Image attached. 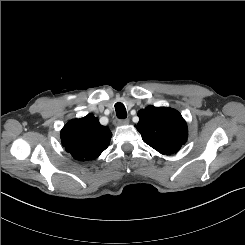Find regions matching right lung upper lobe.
I'll list each match as a JSON object with an SVG mask.
<instances>
[{"instance_id": "right-lung-upper-lobe-1", "label": "right lung upper lobe", "mask_w": 245, "mask_h": 245, "mask_svg": "<svg viewBox=\"0 0 245 245\" xmlns=\"http://www.w3.org/2000/svg\"><path fill=\"white\" fill-rule=\"evenodd\" d=\"M112 133L92 114L69 121L61 130V141L75 160L97 158L110 144Z\"/></svg>"}]
</instances>
